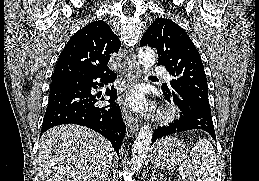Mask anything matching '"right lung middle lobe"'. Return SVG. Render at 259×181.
Instances as JSON below:
<instances>
[{
	"label": "right lung middle lobe",
	"instance_id": "dd1d6c3e",
	"mask_svg": "<svg viewBox=\"0 0 259 181\" xmlns=\"http://www.w3.org/2000/svg\"><path fill=\"white\" fill-rule=\"evenodd\" d=\"M53 86H54V85H51V86H50V89L53 88Z\"/></svg>",
	"mask_w": 259,
	"mask_h": 181
}]
</instances>
